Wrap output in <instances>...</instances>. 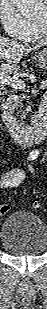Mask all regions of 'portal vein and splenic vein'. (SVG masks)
Returning <instances> with one entry per match:
<instances>
[{
  "label": "portal vein and splenic vein",
  "mask_w": 47,
  "mask_h": 309,
  "mask_svg": "<svg viewBox=\"0 0 47 309\" xmlns=\"http://www.w3.org/2000/svg\"><path fill=\"white\" fill-rule=\"evenodd\" d=\"M1 84H6L9 85L13 88H17V89H24L25 88V82L22 79H19L17 77H5V76H1ZM43 86L46 87V83H43Z\"/></svg>",
  "instance_id": "1"
}]
</instances>
